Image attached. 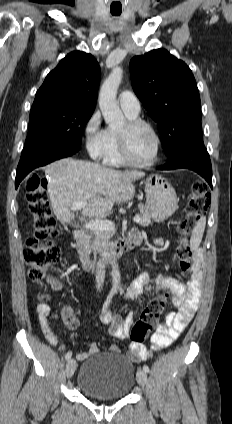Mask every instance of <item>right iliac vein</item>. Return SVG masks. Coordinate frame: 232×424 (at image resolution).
Listing matches in <instances>:
<instances>
[{
    "label": "right iliac vein",
    "instance_id": "63e3f726",
    "mask_svg": "<svg viewBox=\"0 0 232 424\" xmlns=\"http://www.w3.org/2000/svg\"><path fill=\"white\" fill-rule=\"evenodd\" d=\"M76 370V361L74 359H70L66 365V375L67 378H71Z\"/></svg>",
    "mask_w": 232,
    "mask_h": 424
}]
</instances>
